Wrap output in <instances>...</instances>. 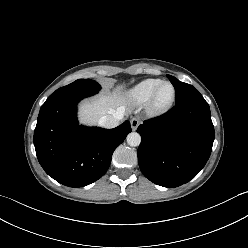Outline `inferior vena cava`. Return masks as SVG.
Masks as SVG:
<instances>
[{"label": "inferior vena cava", "instance_id": "inferior-vena-cava-1", "mask_svg": "<svg viewBox=\"0 0 248 248\" xmlns=\"http://www.w3.org/2000/svg\"><path fill=\"white\" fill-rule=\"evenodd\" d=\"M124 112L115 111L112 115H105L99 119V125L105 128H115L119 125V121L123 119Z\"/></svg>", "mask_w": 248, "mask_h": 248}]
</instances>
